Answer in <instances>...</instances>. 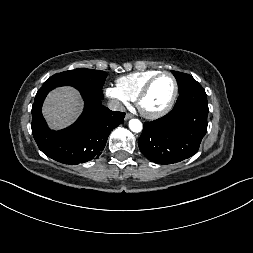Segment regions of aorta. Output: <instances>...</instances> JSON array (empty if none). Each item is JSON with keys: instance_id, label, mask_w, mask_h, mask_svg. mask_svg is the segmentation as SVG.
Returning a JSON list of instances; mask_svg holds the SVG:
<instances>
[{"instance_id": "aorta-1", "label": "aorta", "mask_w": 253, "mask_h": 253, "mask_svg": "<svg viewBox=\"0 0 253 253\" xmlns=\"http://www.w3.org/2000/svg\"><path fill=\"white\" fill-rule=\"evenodd\" d=\"M129 128L133 132H136V133L141 132L142 131V123L138 119H131L129 121Z\"/></svg>"}]
</instances>
